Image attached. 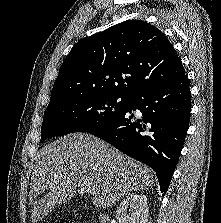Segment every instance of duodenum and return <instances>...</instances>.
Returning a JSON list of instances; mask_svg holds the SVG:
<instances>
[{
  "label": "duodenum",
  "instance_id": "410a0bca",
  "mask_svg": "<svg viewBox=\"0 0 221 223\" xmlns=\"http://www.w3.org/2000/svg\"><path fill=\"white\" fill-rule=\"evenodd\" d=\"M101 223H109V217L106 214L101 216Z\"/></svg>",
  "mask_w": 221,
  "mask_h": 223
}]
</instances>
